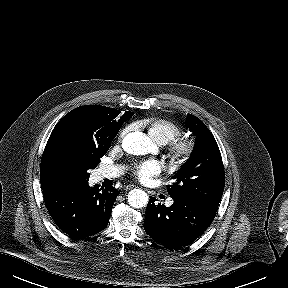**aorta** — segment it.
<instances>
[{"label": "aorta", "mask_w": 288, "mask_h": 288, "mask_svg": "<svg viewBox=\"0 0 288 288\" xmlns=\"http://www.w3.org/2000/svg\"><path fill=\"white\" fill-rule=\"evenodd\" d=\"M124 151L132 155H145L151 152V140L141 132H132L122 142ZM128 202L134 208H142L148 203V195L141 189H133L128 193Z\"/></svg>", "instance_id": "obj_1"}]
</instances>
